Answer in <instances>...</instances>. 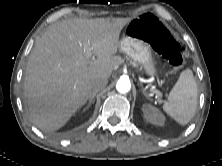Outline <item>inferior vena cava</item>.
<instances>
[{
  "mask_svg": "<svg viewBox=\"0 0 222 166\" xmlns=\"http://www.w3.org/2000/svg\"><path fill=\"white\" fill-rule=\"evenodd\" d=\"M108 84V80L106 78L96 79L92 84L93 93H97L100 90L104 89Z\"/></svg>",
  "mask_w": 222,
  "mask_h": 166,
  "instance_id": "602c4592",
  "label": "inferior vena cava"
}]
</instances>
